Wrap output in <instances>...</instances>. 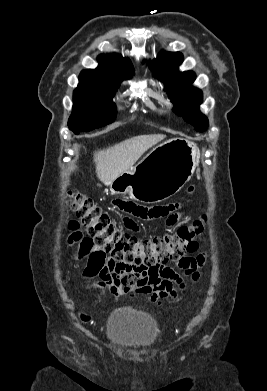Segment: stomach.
<instances>
[{
    "label": "stomach",
    "mask_w": 267,
    "mask_h": 391,
    "mask_svg": "<svg viewBox=\"0 0 267 391\" xmlns=\"http://www.w3.org/2000/svg\"><path fill=\"white\" fill-rule=\"evenodd\" d=\"M198 149L193 142L171 138L156 146L135 167L110 185L114 194H128L142 203H158L179 192L193 175Z\"/></svg>",
    "instance_id": "obj_1"
}]
</instances>
